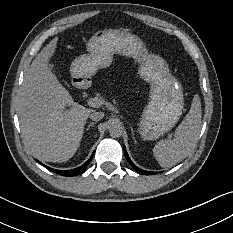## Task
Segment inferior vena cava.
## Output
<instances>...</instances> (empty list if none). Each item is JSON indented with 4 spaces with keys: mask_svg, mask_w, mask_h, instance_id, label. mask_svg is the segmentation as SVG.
<instances>
[{
    "mask_svg": "<svg viewBox=\"0 0 233 233\" xmlns=\"http://www.w3.org/2000/svg\"><path fill=\"white\" fill-rule=\"evenodd\" d=\"M104 117V112L98 111V112H93L89 115V118L91 120H100Z\"/></svg>",
    "mask_w": 233,
    "mask_h": 233,
    "instance_id": "602c4592",
    "label": "inferior vena cava"
}]
</instances>
